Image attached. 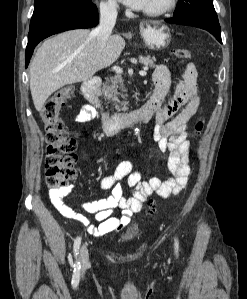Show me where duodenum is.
Returning <instances> with one entry per match:
<instances>
[{"label": "duodenum", "mask_w": 247, "mask_h": 299, "mask_svg": "<svg viewBox=\"0 0 247 299\" xmlns=\"http://www.w3.org/2000/svg\"><path fill=\"white\" fill-rule=\"evenodd\" d=\"M100 84L101 79L99 77H92L85 80L81 87L83 97L89 104L98 109L101 108L98 96ZM155 112L156 108L150 101L144 104L141 108L127 113L109 114L107 112H102V128L107 135H113L136 122L150 121L155 116Z\"/></svg>", "instance_id": "410a0bca"}]
</instances>
